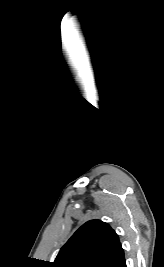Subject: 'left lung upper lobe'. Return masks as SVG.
<instances>
[{
  "label": "left lung upper lobe",
  "instance_id": "5c2ea615",
  "mask_svg": "<svg viewBox=\"0 0 164 267\" xmlns=\"http://www.w3.org/2000/svg\"><path fill=\"white\" fill-rule=\"evenodd\" d=\"M121 248L118 235L106 223L82 225L61 248L52 267H106Z\"/></svg>",
  "mask_w": 164,
  "mask_h": 267
}]
</instances>
